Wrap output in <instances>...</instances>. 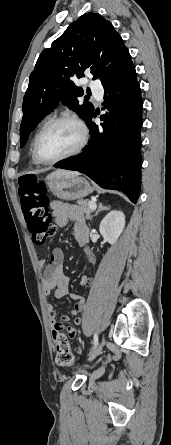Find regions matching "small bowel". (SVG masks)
<instances>
[{
    "label": "small bowel",
    "instance_id": "c3829d8e",
    "mask_svg": "<svg viewBox=\"0 0 171 445\" xmlns=\"http://www.w3.org/2000/svg\"><path fill=\"white\" fill-rule=\"evenodd\" d=\"M51 209L53 211L54 222L57 226H65L68 221H71L74 226L76 239L82 249L86 258V266L90 269L94 267L95 256L88 245L87 226L80 210L68 203L62 201H52ZM38 266L42 271L41 283L46 297L54 296L61 299L65 296L72 298L75 303L70 311L72 315H77L83 311L85 306V299L75 293H70L68 290L69 278L64 272V252L60 247H55L49 259H42L38 262ZM92 278L83 276L81 278V286L88 287L92 284ZM47 312L50 326L52 328V336L54 340L57 339L58 334L65 328L64 322L69 320L67 315H58L55 308L48 304ZM82 320L75 318L74 325L66 327L67 333L74 338L78 334V327Z\"/></svg>",
    "mask_w": 171,
    "mask_h": 445
}]
</instances>
